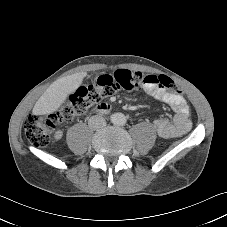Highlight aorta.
Segmentation results:
<instances>
[{
  "mask_svg": "<svg viewBox=\"0 0 227 227\" xmlns=\"http://www.w3.org/2000/svg\"><path fill=\"white\" fill-rule=\"evenodd\" d=\"M111 122L114 125L122 126L126 123V117L123 113H114L111 115Z\"/></svg>",
  "mask_w": 227,
  "mask_h": 227,
  "instance_id": "762f6f07",
  "label": "aorta"
}]
</instances>
